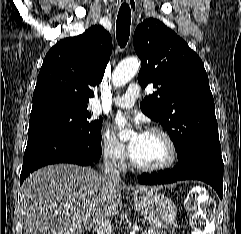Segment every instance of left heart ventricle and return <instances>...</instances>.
I'll return each instance as SVG.
<instances>
[{
  "label": "left heart ventricle",
  "mask_w": 241,
  "mask_h": 234,
  "mask_svg": "<svg viewBox=\"0 0 241 234\" xmlns=\"http://www.w3.org/2000/svg\"><path fill=\"white\" fill-rule=\"evenodd\" d=\"M130 142L132 154L140 164L156 166L166 162L169 157L166 141L156 133L145 132L140 138L133 135Z\"/></svg>",
  "instance_id": "b2bd125f"
}]
</instances>
